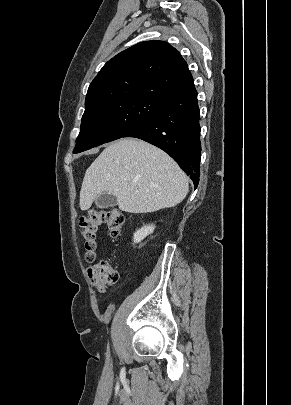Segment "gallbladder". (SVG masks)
Masks as SVG:
<instances>
[{"mask_svg":"<svg viewBox=\"0 0 291 405\" xmlns=\"http://www.w3.org/2000/svg\"><path fill=\"white\" fill-rule=\"evenodd\" d=\"M95 205L97 208H111L117 205V199L115 196L102 193L95 198Z\"/></svg>","mask_w":291,"mask_h":405,"instance_id":"bac80fb5","label":"gallbladder"}]
</instances>
